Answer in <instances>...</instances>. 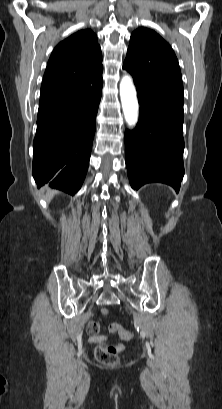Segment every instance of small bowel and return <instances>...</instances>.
<instances>
[{
    "instance_id": "small-bowel-1",
    "label": "small bowel",
    "mask_w": 222,
    "mask_h": 409,
    "mask_svg": "<svg viewBox=\"0 0 222 409\" xmlns=\"http://www.w3.org/2000/svg\"><path fill=\"white\" fill-rule=\"evenodd\" d=\"M99 324L95 321L89 323L88 332L91 334L90 342L93 344H105L107 342V337L105 335L97 334Z\"/></svg>"
}]
</instances>
